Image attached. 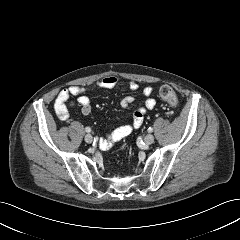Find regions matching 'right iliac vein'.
<instances>
[{
	"instance_id": "obj_1",
	"label": "right iliac vein",
	"mask_w": 240,
	"mask_h": 240,
	"mask_svg": "<svg viewBox=\"0 0 240 240\" xmlns=\"http://www.w3.org/2000/svg\"><path fill=\"white\" fill-rule=\"evenodd\" d=\"M84 140L86 143H92L93 137L91 134H87V135H85Z\"/></svg>"
}]
</instances>
